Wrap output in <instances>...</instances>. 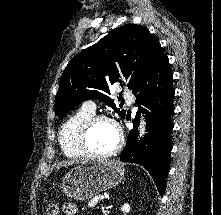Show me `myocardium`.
<instances>
[{
  "instance_id": "myocardium-1",
  "label": "myocardium",
  "mask_w": 221,
  "mask_h": 215,
  "mask_svg": "<svg viewBox=\"0 0 221 215\" xmlns=\"http://www.w3.org/2000/svg\"><path fill=\"white\" fill-rule=\"evenodd\" d=\"M102 121L109 122L115 127L117 131L118 139H117L116 145L111 150L104 152V153H96L93 150H91L89 147L88 136L92 128L95 126V124H97L98 122H102ZM78 144L81 150L84 152V154L88 156H91L94 158H108V157L115 155L121 150L124 144V133L119 123L112 117L104 115V114L93 115L81 127L79 135H78Z\"/></svg>"
}]
</instances>
